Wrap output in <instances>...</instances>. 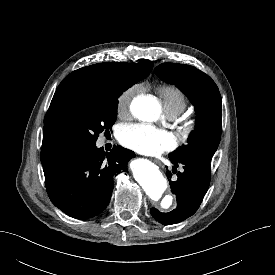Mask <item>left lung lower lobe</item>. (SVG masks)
<instances>
[{"mask_svg": "<svg viewBox=\"0 0 275 275\" xmlns=\"http://www.w3.org/2000/svg\"><path fill=\"white\" fill-rule=\"evenodd\" d=\"M170 161L174 166L182 164L184 172L177 173V179L171 180L172 173L167 170V178L170 183L171 192L176 195L177 207L169 213H162L155 208L150 210L155 220L164 225L179 223L199 208L210 184V160L201 157ZM176 169L173 167L172 172Z\"/></svg>", "mask_w": 275, "mask_h": 275, "instance_id": "1", "label": "left lung lower lobe"}]
</instances>
